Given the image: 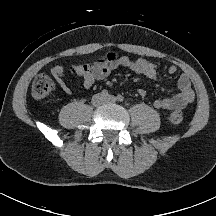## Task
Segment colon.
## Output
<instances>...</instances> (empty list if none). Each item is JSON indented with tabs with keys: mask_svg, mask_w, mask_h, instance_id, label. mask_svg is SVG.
<instances>
[{
	"mask_svg": "<svg viewBox=\"0 0 216 216\" xmlns=\"http://www.w3.org/2000/svg\"><path fill=\"white\" fill-rule=\"evenodd\" d=\"M54 89V83L49 75L41 73L35 77L31 86L32 96L37 100H45ZM169 123L178 126L183 121V113L175 110L169 114Z\"/></svg>",
	"mask_w": 216,
	"mask_h": 216,
	"instance_id": "obj_1",
	"label": "colon"
}]
</instances>
